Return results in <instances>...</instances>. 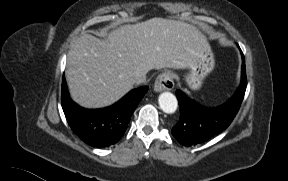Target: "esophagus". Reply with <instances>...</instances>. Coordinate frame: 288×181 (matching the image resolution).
<instances>
[{"label":"esophagus","mask_w":288,"mask_h":181,"mask_svg":"<svg viewBox=\"0 0 288 181\" xmlns=\"http://www.w3.org/2000/svg\"><path fill=\"white\" fill-rule=\"evenodd\" d=\"M173 88H174V81H173V74L171 72L161 73L154 83V91L156 92L172 90Z\"/></svg>","instance_id":"34e87169"}]
</instances>
